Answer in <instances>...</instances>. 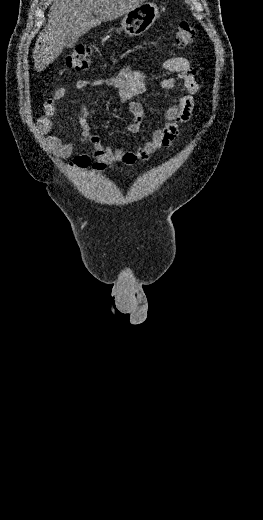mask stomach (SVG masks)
Listing matches in <instances>:
<instances>
[{
  "label": "stomach",
  "mask_w": 263,
  "mask_h": 520,
  "mask_svg": "<svg viewBox=\"0 0 263 520\" xmlns=\"http://www.w3.org/2000/svg\"><path fill=\"white\" fill-rule=\"evenodd\" d=\"M159 15L156 4L144 2L126 13L121 21L123 31L131 36H139L146 32Z\"/></svg>",
  "instance_id": "obj_1"
}]
</instances>
